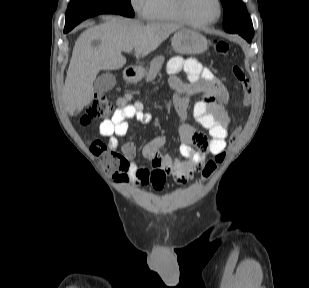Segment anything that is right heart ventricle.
<instances>
[{"mask_svg":"<svg viewBox=\"0 0 309 288\" xmlns=\"http://www.w3.org/2000/svg\"><path fill=\"white\" fill-rule=\"evenodd\" d=\"M144 17L150 21L182 24L174 0H148Z\"/></svg>","mask_w":309,"mask_h":288,"instance_id":"1","label":"right heart ventricle"}]
</instances>
